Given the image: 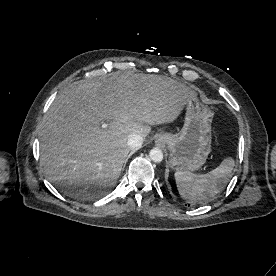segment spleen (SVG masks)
<instances>
[{
	"mask_svg": "<svg viewBox=\"0 0 276 276\" xmlns=\"http://www.w3.org/2000/svg\"><path fill=\"white\" fill-rule=\"evenodd\" d=\"M235 161L224 159L221 164L207 174H194L189 171L178 170L174 177L179 194L184 199L196 202L214 197L225 188L229 181Z\"/></svg>",
	"mask_w": 276,
	"mask_h": 276,
	"instance_id": "spleen-1",
	"label": "spleen"
}]
</instances>
